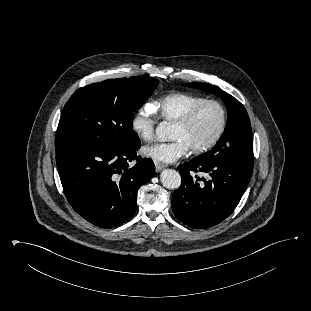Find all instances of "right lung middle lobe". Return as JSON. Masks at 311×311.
<instances>
[{
	"label": "right lung middle lobe",
	"instance_id": "dd1d6c3e",
	"mask_svg": "<svg viewBox=\"0 0 311 311\" xmlns=\"http://www.w3.org/2000/svg\"><path fill=\"white\" fill-rule=\"evenodd\" d=\"M158 83L157 79L130 77L78 89L64 106L55 150L88 147L121 151L139 145L131 113L151 96Z\"/></svg>",
	"mask_w": 311,
	"mask_h": 311
}]
</instances>
